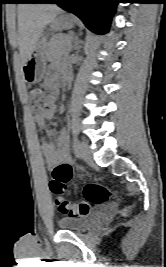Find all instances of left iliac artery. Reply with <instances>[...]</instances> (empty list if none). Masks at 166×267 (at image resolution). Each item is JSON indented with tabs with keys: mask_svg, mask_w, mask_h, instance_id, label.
Returning a JSON list of instances; mask_svg holds the SVG:
<instances>
[{
	"mask_svg": "<svg viewBox=\"0 0 166 267\" xmlns=\"http://www.w3.org/2000/svg\"><path fill=\"white\" fill-rule=\"evenodd\" d=\"M77 139H74V149H75V154H76V156H78L79 157V153H78V151H77V148H76V146H77Z\"/></svg>",
	"mask_w": 166,
	"mask_h": 267,
	"instance_id": "obj_1",
	"label": "left iliac artery"
}]
</instances>
